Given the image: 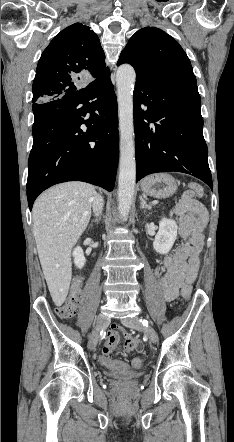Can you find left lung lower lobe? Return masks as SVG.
Instances as JSON below:
<instances>
[{"mask_svg":"<svg viewBox=\"0 0 234 442\" xmlns=\"http://www.w3.org/2000/svg\"><path fill=\"white\" fill-rule=\"evenodd\" d=\"M133 98L136 182L152 173L177 171L212 189L197 85L136 81Z\"/></svg>","mask_w":234,"mask_h":442,"instance_id":"left-lung-lower-lobe-1","label":"left lung lower lobe"}]
</instances>
